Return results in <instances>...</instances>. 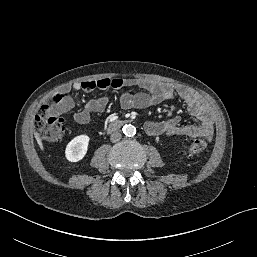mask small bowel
Instances as JSON below:
<instances>
[{
	"label": "small bowel",
	"mask_w": 257,
	"mask_h": 257,
	"mask_svg": "<svg viewBox=\"0 0 257 257\" xmlns=\"http://www.w3.org/2000/svg\"><path fill=\"white\" fill-rule=\"evenodd\" d=\"M132 87H138L143 91L133 94L129 91ZM108 88H113L120 92V102L124 109H143L163 101L173 100L178 96L184 101L189 114L196 119L194 124L186 126H180L181 119L178 116L166 121H149L145 124V131L150 136H203L210 138L213 135V122L205 103L187 89L175 87L170 83L147 79L101 78L74 83L71 86H62L59 91L65 94L71 90L91 92ZM108 104L109 98L107 96L89 100L85 102L82 110L73 114V118L78 124H89L91 114L103 112ZM73 106V99L66 97L60 109L62 112H66L71 110Z\"/></svg>",
	"instance_id": "c3829d8e"
}]
</instances>
